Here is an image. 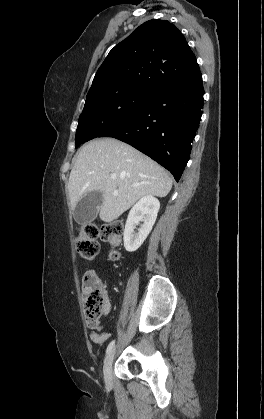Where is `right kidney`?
Masks as SVG:
<instances>
[{
    "mask_svg": "<svg viewBox=\"0 0 264 419\" xmlns=\"http://www.w3.org/2000/svg\"><path fill=\"white\" fill-rule=\"evenodd\" d=\"M160 202L148 195L142 197L130 210L124 229V247L128 252L136 251L147 238L156 221ZM142 222L138 233L134 229Z\"/></svg>",
    "mask_w": 264,
    "mask_h": 419,
    "instance_id": "ca27d5eb",
    "label": "right kidney"
}]
</instances>
